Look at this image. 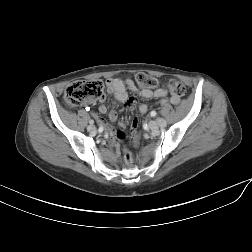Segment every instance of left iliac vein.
Segmentation results:
<instances>
[{"mask_svg":"<svg viewBox=\"0 0 252 252\" xmlns=\"http://www.w3.org/2000/svg\"><path fill=\"white\" fill-rule=\"evenodd\" d=\"M166 122H165V120L164 119H159L158 120V122L157 121H150L149 122V128L151 129V130H157L158 129V127H159V124H165Z\"/></svg>","mask_w":252,"mask_h":252,"instance_id":"1","label":"left iliac vein"}]
</instances>
